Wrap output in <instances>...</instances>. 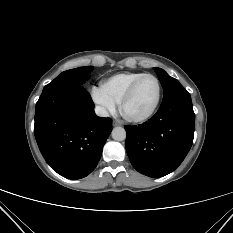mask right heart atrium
<instances>
[{"mask_svg":"<svg viewBox=\"0 0 233 233\" xmlns=\"http://www.w3.org/2000/svg\"><path fill=\"white\" fill-rule=\"evenodd\" d=\"M90 96L99 111L104 115L113 113L119 104V101L111 94L105 84L92 86Z\"/></svg>","mask_w":233,"mask_h":233,"instance_id":"d8ad5b80","label":"right heart atrium"}]
</instances>
